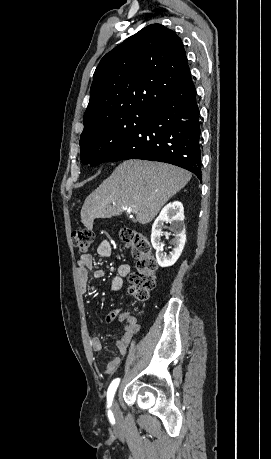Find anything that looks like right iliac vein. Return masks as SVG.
<instances>
[{"label":"right iliac vein","mask_w":271,"mask_h":459,"mask_svg":"<svg viewBox=\"0 0 271 459\" xmlns=\"http://www.w3.org/2000/svg\"><path fill=\"white\" fill-rule=\"evenodd\" d=\"M111 413L116 419L120 418V411H119V407H118V403L116 399H114L112 402Z\"/></svg>","instance_id":"right-iliac-vein-1"}]
</instances>
